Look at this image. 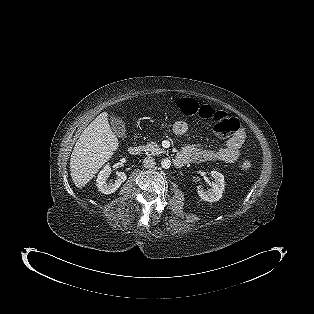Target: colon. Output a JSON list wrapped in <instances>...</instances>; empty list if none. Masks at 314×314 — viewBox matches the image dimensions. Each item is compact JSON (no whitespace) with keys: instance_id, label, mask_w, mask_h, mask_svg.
Here are the masks:
<instances>
[{"instance_id":"1","label":"colon","mask_w":314,"mask_h":314,"mask_svg":"<svg viewBox=\"0 0 314 314\" xmlns=\"http://www.w3.org/2000/svg\"><path fill=\"white\" fill-rule=\"evenodd\" d=\"M180 112L186 117L195 115L202 119L210 120L213 123L214 131L220 135L235 134L239 130V122L236 118L229 116L221 110H214L210 106L200 105L191 98H182L178 103ZM252 167V160L249 156L243 157L239 162V168L247 172Z\"/></svg>"}]
</instances>
